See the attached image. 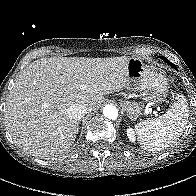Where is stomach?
Instances as JSON below:
<instances>
[{"label": "stomach", "instance_id": "1", "mask_svg": "<svg viewBox=\"0 0 196 196\" xmlns=\"http://www.w3.org/2000/svg\"><path fill=\"white\" fill-rule=\"evenodd\" d=\"M128 86L133 91H146L150 100L160 102L168 90V80L155 67L146 64L142 59L130 57L127 62ZM122 108L129 113L132 120L141 113V107L136 102L124 100Z\"/></svg>", "mask_w": 196, "mask_h": 196}]
</instances>
